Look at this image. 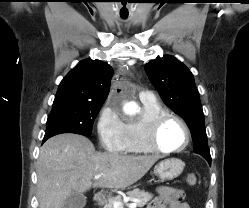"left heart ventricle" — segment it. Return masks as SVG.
<instances>
[{"label": "left heart ventricle", "instance_id": "1", "mask_svg": "<svg viewBox=\"0 0 249 208\" xmlns=\"http://www.w3.org/2000/svg\"><path fill=\"white\" fill-rule=\"evenodd\" d=\"M186 139V133L182 125L176 120H169L162 127L158 143L165 149H175L181 147Z\"/></svg>", "mask_w": 249, "mask_h": 208}]
</instances>
